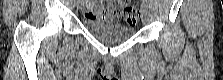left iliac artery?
Listing matches in <instances>:
<instances>
[{"instance_id":"44dca946","label":"left iliac artery","mask_w":223,"mask_h":80,"mask_svg":"<svg viewBox=\"0 0 223 80\" xmlns=\"http://www.w3.org/2000/svg\"><path fill=\"white\" fill-rule=\"evenodd\" d=\"M147 1L146 0H143V5H146Z\"/></svg>"}]
</instances>
